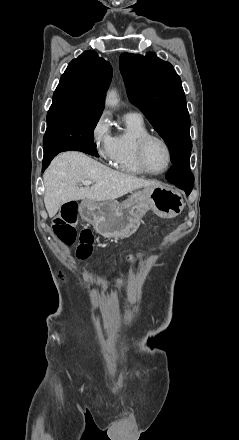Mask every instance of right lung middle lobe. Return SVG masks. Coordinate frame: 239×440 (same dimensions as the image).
<instances>
[{
    "label": "right lung middle lobe",
    "mask_w": 239,
    "mask_h": 440,
    "mask_svg": "<svg viewBox=\"0 0 239 440\" xmlns=\"http://www.w3.org/2000/svg\"><path fill=\"white\" fill-rule=\"evenodd\" d=\"M101 113L82 112L67 107H50L43 138L44 155L72 143L94 145L93 132Z\"/></svg>",
    "instance_id": "right-lung-middle-lobe-1"
}]
</instances>
